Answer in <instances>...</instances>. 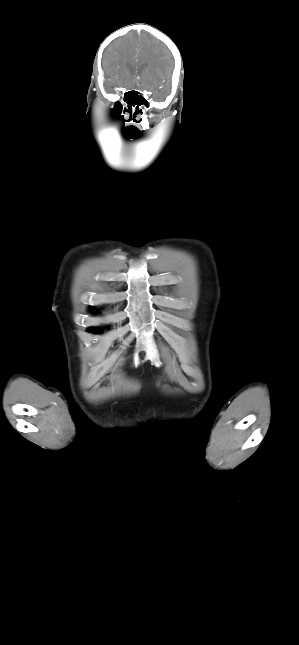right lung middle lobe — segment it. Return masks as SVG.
<instances>
[{
    "label": "right lung middle lobe",
    "instance_id": "obj_1",
    "mask_svg": "<svg viewBox=\"0 0 299 645\" xmlns=\"http://www.w3.org/2000/svg\"><path fill=\"white\" fill-rule=\"evenodd\" d=\"M89 331L90 332H97V330L95 328H90Z\"/></svg>",
    "mask_w": 299,
    "mask_h": 645
}]
</instances>
